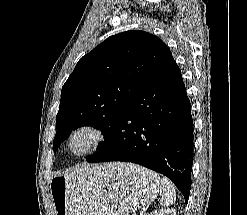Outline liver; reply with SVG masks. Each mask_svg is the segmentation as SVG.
Segmentation results:
<instances>
[{
  "label": "liver",
  "instance_id": "obj_1",
  "mask_svg": "<svg viewBox=\"0 0 247 215\" xmlns=\"http://www.w3.org/2000/svg\"><path fill=\"white\" fill-rule=\"evenodd\" d=\"M88 166H84L83 168H75L74 169V171L71 173V174H74V173H76V172H78V171H81V170H83L84 168H87ZM107 168H110V164H108L107 165ZM71 174H69V175H71ZM68 175V174H67Z\"/></svg>",
  "mask_w": 247,
  "mask_h": 215
}]
</instances>
